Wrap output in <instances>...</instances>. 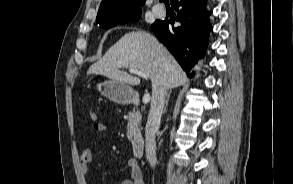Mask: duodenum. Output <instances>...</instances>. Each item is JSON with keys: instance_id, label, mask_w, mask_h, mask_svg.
<instances>
[{"instance_id": "duodenum-1", "label": "duodenum", "mask_w": 293, "mask_h": 184, "mask_svg": "<svg viewBox=\"0 0 293 184\" xmlns=\"http://www.w3.org/2000/svg\"><path fill=\"white\" fill-rule=\"evenodd\" d=\"M132 102L135 104L139 103V99L137 97H133ZM145 141L142 136H137L132 140V151L136 158H140L144 152Z\"/></svg>"}]
</instances>
